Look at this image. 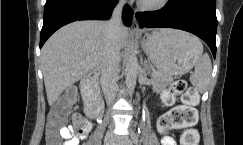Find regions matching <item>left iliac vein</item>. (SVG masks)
<instances>
[{
    "label": "left iliac vein",
    "instance_id": "4c4485c4",
    "mask_svg": "<svg viewBox=\"0 0 243 145\" xmlns=\"http://www.w3.org/2000/svg\"><path fill=\"white\" fill-rule=\"evenodd\" d=\"M116 145H133V142L128 137H125V138H123L121 140H118L116 142Z\"/></svg>",
    "mask_w": 243,
    "mask_h": 145
}]
</instances>
